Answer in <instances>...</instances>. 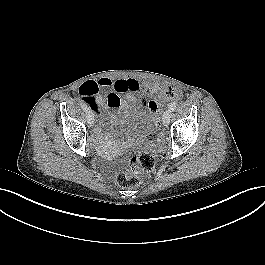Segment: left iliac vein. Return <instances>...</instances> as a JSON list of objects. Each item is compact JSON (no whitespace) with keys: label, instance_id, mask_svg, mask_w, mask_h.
<instances>
[{"label":"left iliac vein","instance_id":"4c4485c4","mask_svg":"<svg viewBox=\"0 0 265 265\" xmlns=\"http://www.w3.org/2000/svg\"><path fill=\"white\" fill-rule=\"evenodd\" d=\"M170 118H171V111L170 110H166L163 113V117H162V122H163L164 126H167L169 124Z\"/></svg>","mask_w":265,"mask_h":265}]
</instances>
